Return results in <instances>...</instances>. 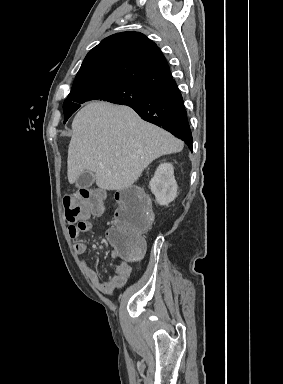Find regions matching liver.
Wrapping results in <instances>:
<instances>
[{"label":"liver","mask_w":283,"mask_h":384,"mask_svg":"<svg viewBox=\"0 0 283 384\" xmlns=\"http://www.w3.org/2000/svg\"><path fill=\"white\" fill-rule=\"evenodd\" d=\"M68 148V182L84 172H94L102 190H124L160 156L176 154L184 142L148 124L128 106L89 102L72 122Z\"/></svg>","instance_id":"obj_1"}]
</instances>
